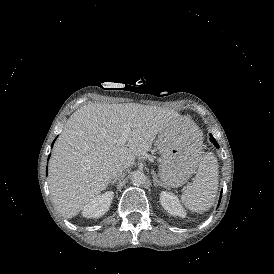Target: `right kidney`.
<instances>
[{"instance_id": "ca27d5eb", "label": "right kidney", "mask_w": 274, "mask_h": 274, "mask_svg": "<svg viewBox=\"0 0 274 274\" xmlns=\"http://www.w3.org/2000/svg\"><path fill=\"white\" fill-rule=\"evenodd\" d=\"M113 197L114 193L112 191L93 197L90 202L84 205L81 212L82 216L86 218L103 216L109 210Z\"/></svg>"}]
</instances>
